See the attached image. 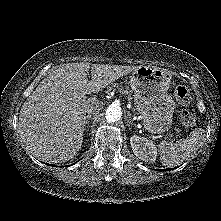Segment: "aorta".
I'll list each match as a JSON object with an SVG mask.
<instances>
[{
  "mask_svg": "<svg viewBox=\"0 0 221 221\" xmlns=\"http://www.w3.org/2000/svg\"><path fill=\"white\" fill-rule=\"evenodd\" d=\"M122 117V110L119 105L112 104L106 109L105 118L107 122H117Z\"/></svg>",
  "mask_w": 221,
  "mask_h": 221,
  "instance_id": "obj_1",
  "label": "aorta"
}]
</instances>
